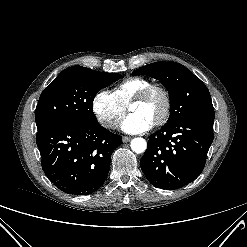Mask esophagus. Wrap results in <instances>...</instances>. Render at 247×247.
Listing matches in <instances>:
<instances>
[{"mask_svg": "<svg viewBox=\"0 0 247 247\" xmlns=\"http://www.w3.org/2000/svg\"><path fill=\"white\" fill-rule=\"evenodd\" d=\"M130 140H131V137L124 136V137L122 138V141H123L124 143H127V142H129Z\"/></svg>", "mask_w": 247, "mask_h": 247, "instance_id": "obj_1", "label": "esophagus"}]
</instances>
